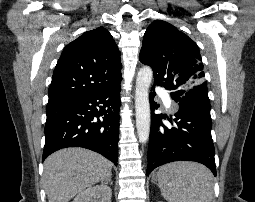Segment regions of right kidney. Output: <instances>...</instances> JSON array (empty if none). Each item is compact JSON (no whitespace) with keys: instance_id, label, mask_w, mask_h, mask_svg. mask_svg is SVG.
Returning a JSON list of instances; mask_svg holds the SVG:
<instances>
[{"instance_id":"right-kidney-1","label":"right kidney","mask_w":255,"mask_h":202,"mask_svg":"<svg viewBox=\"0 0 255 202\" xmlns=\"http://www.w3.org/2000/svg\"><path fill=\"white\" fill-rule=\"evenodd\" d=\"M111 196V188L102 183L85 189L72 202H111Z\"/></svg>"}]
</instances>
